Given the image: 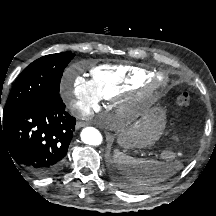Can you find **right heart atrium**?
<instances>
[{
    "mask_svg": "<svg viewBox=\"0 0 216 216\" xmlns=\"http://www.w3.org/2000/svg\"><path fill=\"white\" fill-rule=\"evenodd\" d=\"M61 93L76 114H90L99 104V96L91 81L82 75L66 73L61 81Z\"/></svg>",
    "mask_w": 216,
    "mask_h": 216,
    "instance_id": "obj_1",
    "label": "right heart atrium"
}]
</instances>
